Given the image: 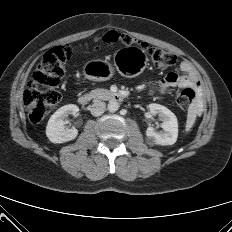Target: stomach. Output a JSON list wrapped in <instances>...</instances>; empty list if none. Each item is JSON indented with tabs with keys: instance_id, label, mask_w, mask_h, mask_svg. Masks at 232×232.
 I'll list each match as a JSON object with an SVG mask.
<instances>
[{
	"instance_id": "1",
	"label": "stomach",
	"mask_w": 232,
	"mask_h": 232,
	"mask_svg": "<svg viewBox=\"0 0 232 232\" xmlns=\"http://www.w3.org/2000/svg\"><path fill=\"white\" fill-rule=\"evenodd\" d=\"M148 63V57L141 48L129 46L123 47L114 54V66L123 76L134 77L144 71ZM86 79L92 81H106L114 75L113 65L106 60H91L83 67Z\"/></svg>"
}]
</instances>
